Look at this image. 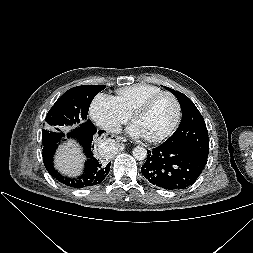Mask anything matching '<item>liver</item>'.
I'll use <instances>...</instances> for the list:
<instances>
[{"mask_svg": "<svg viewBox=\"0 0 253 253\" xmlns=\"http://www.w3.org/2000/svg\"><path fill=\"white\" fill-rule=\"evenodd\" d=\"M84 156L81 149L74 142H68L57 150L55 167L69 176H77L83 167Z\"/></svg>", "mask_w": 253, "mask_h": 253, "instance_id": "obj_1", "label": "liver"}]
</instances>
